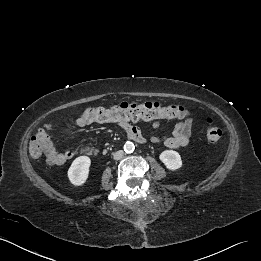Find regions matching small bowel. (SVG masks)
Wrapping results in <instances>:
<instances>
[{
  "mask_svg": "<svg viewBox=\"0 0 261 261\" xmlns=\"http://www.w3.org/2000/svg\"><path fill=\"white\" fill-rule=\"evenodd\" d=\"M116 123L123 131L126 132L129 137L133 133H140L138 127L132 125L128 121H116ZM87 124L81 117L77 118L73 125L76 127H83ZM151 126L157 128L159 126L158 121H153ZM192 118H179L174 126L171 134L165 136H153L151 137L152 143H162L168 148H179L188 145L191 137ZM48 131L52 130V126H46ZM46 161L50 165H62L75 157L78 154L81 155H94L97 153V149L92 146H82L78 150H68L64 153H59L55 142L47 135L46 143L44 147Z\"/></svg>",
  "mask_w": 261,
  "mask_h": 261,
  "instance_id": "obj_1",
  "label": "small bowel"
}]
</instances>
